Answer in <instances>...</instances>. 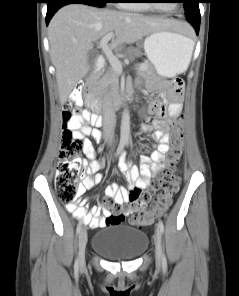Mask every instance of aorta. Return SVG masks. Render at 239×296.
<instances>
[{
    "label": "aorta",
    "mask_w": 239,
    "mask_h": 296,
    "mask_svg": "<svg viewBox=\"0 0 239 296\" xmlns=\"http://www.w3.org/2000/svg\"><path fill=\"white\" fill-rule=\"evenodd\" d=\"M130 135V115L127 109L124 110L121 120V140L129 139Z\"/></svg>",
    "instance_id": "762f6f07"
}]
</instances>
